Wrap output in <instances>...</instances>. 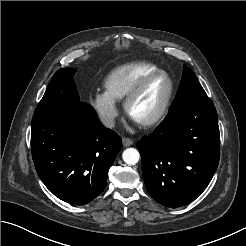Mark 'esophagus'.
Here are the masks:
<instances>
[{"mask_svg": "<svg viewBox=\"0 0 246 246\" xmlns=\"http://www.w3.org/2000/svg\"><path fill=\"white\" fill-rule=\"evenodd\" d=\"M122 143H123V146L128 147V146L133 145L134 142L132 139L124 137L122 138Z\"/></svg>", "mask_w": 246, "mask_h": 246, "instance_id": "esophagus-1", "label": "esophagus"}]
</instances>
